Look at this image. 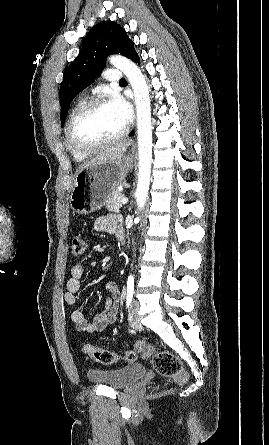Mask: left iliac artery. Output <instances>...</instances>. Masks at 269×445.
<instances>
[{
	"mask_svg": "<svg viewBox=\"0 0 269 445\" xmlns=\"http://www.w3.org/2000/svg\"><path fill=\"white\" fill-rule=\"evenodd\" d=\"M134 294V278L132 276L128 277L127 280V307H129Z\"/></svg>",
	"mask_w": 269,
	"mask_h": 445,
	"instance_id": "obj_1",
	"label": "left iliac artery"
}]
</instances>
